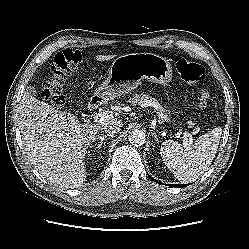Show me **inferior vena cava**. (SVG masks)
<instances>
[{
  "label": "inferior vena cava",
  "instance_id": "obj_1",
  "mask_svg": "<svg viewBox=\"0 0 249 249\" xmlns=\"http://www.w3.org/2000/svg\"><path fill=\"white\" fill-rule=\"evenodd\" d=\"M101 131L112 136L120 131V126L114 123H106L101 127Z\"/></svg>",
  "mask_w": 249,
  "mask_h": 249
}]
</instances>
